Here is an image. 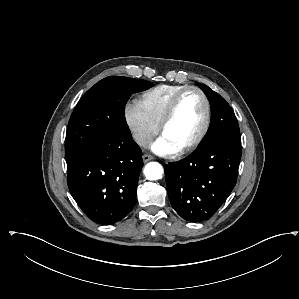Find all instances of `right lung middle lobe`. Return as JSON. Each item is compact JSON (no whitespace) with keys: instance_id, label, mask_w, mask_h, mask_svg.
Here are the masks:
<instances>
[{"instance_id":"1","label":"right lung middle lobe","mask_w":299,"mask_h":299,"mask_svg":"<svg viewBox=\"0 0 299 299\" xmlns=\"http://www.w3.org/2000/svg\"><path fill=\"white\" fill-rule=\"evenodd\" d=\"M151 86L152 83L145 80L110 76L90 88L68 123L65 141L67 163L101 143L130 138L125 105L132 93Z\"/></svg>"}]
</instances>
